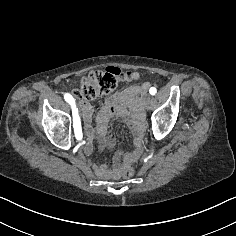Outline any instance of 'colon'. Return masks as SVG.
Returning a JSON list of instances; mask_svg holds the SVG:
<instances>
[{
	"mask_svg": "<svg viewBox=\"0 0 236 236\" xmlns=\"http://www.w3.org/2000/svg\"><path fill=\"white\" fill-rule=\"evenodd\" d=\"M121 72L116 68H108L105 71H92L82 78L80 86L73 90V95L83 101L92 100L101 95H106L116 88L117 77ZM135 174L133 166L127 165L121 171L124 179H129Z\"/></svg>",
	"mask_w": 236,
	"mask_h": 236,
	"instance_id": "5ec220e1",
	"label": "colon"
}]
</instances>
